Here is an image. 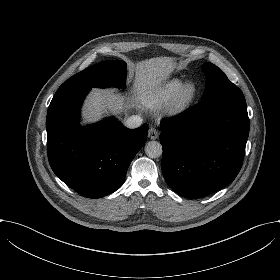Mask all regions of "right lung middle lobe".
<instances>
[{
	"label": "right lung middle lobe",
	"mask_w": 280,
	"mask_h": 280,
	"mask_svg": "<svg viewBox=\"0 0 280 280\" xmlns=\"http://www.w3.org/2000/svg\"><path fill=\"white\" fill-rule=\"evenodd\" d=\"M126 74V63L124 61H103L75 74L61 86L124 87Z\"/></svg>",
	"instance_id": "1"
}]
</instances>
